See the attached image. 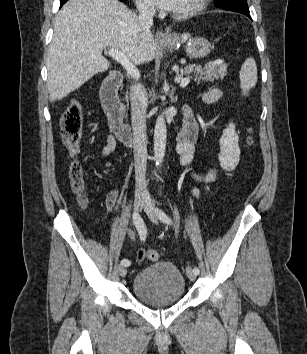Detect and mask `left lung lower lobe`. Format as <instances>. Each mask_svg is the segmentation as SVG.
<instances>
[{
    "mask_svg": "<svg viewBox=\"0 0 307 354\" xmlns=\"http://www.w3.org/2000/svg\"><path fill=\"white\" fill-rule=\"evenodd\" d=\"M230 11L242 13V14L246 15L247 17H249L251 19L250 15H249V12H247V11H240V10H230Z\"/></svg>",
    "mask_w": 307,
    "mask_h": 354,
    "instance_id": "obj_1",
    "label": "left lung lower lobe"
}]
</instances>
